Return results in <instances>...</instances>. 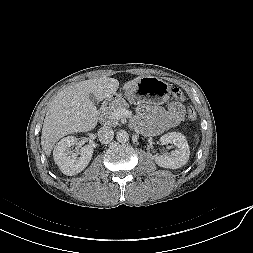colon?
I'll return each mask as SVG.
<instances>
[{"mask_svg":"<svg viewBox=\"0 0 253 253\" xmlns=\"http://www.w3.org/2000/svg\"><path fill=\"white\" fill-rule=\"evenodd\" d=\"M173 97L178 101H183L185 99V95L182 90L178 87L172 89ZM187 116L190 120H195L197 118V113L192 106H189L187 109Z\"/></svg>","mask_w":253,"mask_h":253,"instance_id":"5ec220e1","label":"colon"}]
</instances>
